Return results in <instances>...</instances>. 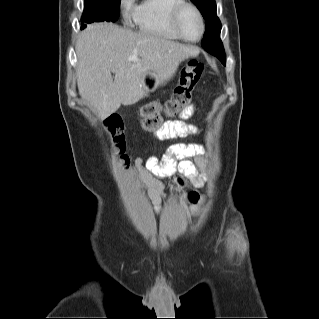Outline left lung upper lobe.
<instances>
[{"instance_id":"5c2ea615","label":"left lung upper lobe","mask_w":319,"mask_h":319,"mask_svg":"<svg viewBox=\"0 0 319 319\" xmlns=\"http://www.w3.org/2000/svg\"><path fill=\"white\" fill-rule=\"evenodd\" d=\"M205 19V33L202 47L210 54L216 56L223 65H226V57L223 44L220 40L221 22L216 15L215 0H191Z\"/></svg>"}]
</instances>
